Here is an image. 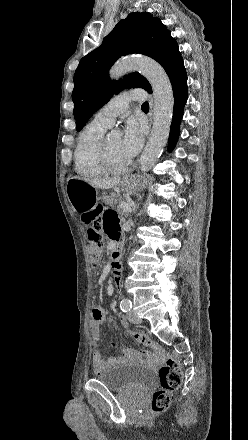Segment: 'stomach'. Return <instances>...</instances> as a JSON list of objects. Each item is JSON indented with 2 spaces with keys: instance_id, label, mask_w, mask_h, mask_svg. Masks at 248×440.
Returning <instances> with one entry per match:
<instances>
[{
  "instance_id": "1",
  "label": "stomach",
  "mask_w": 248,
  "mask_h": 440,
  "mask_svg": "<svg viewBox=\"0 0 248 440\" xmlns=\"http://www.w3.org/2000/svg\"><path fill=\"white\" fill-rule=\"evenodd\" d=\"M119 186L123 193L129 196L143 189L145 182L133 176H127L120 182ZM66 190L69 201L77 212L83 211L89 205V203H86L88 198H90V205L98 198L95 187L81 179H69Z\"/></svg>"
}]
</instances>
